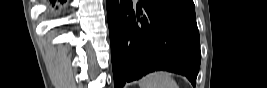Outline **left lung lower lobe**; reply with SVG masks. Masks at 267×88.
<instances>
[{
    "label": "left lung lower lobe",
    "instance_id": "obj_1",
    "mask_svg": "<svg viewBox=\"0 0 267 88\" xmlns=\"http://www.w3.org/2000/svg\"><path fill=\"white\" fill-rule=\"evenodd\" d=\"M114 87L155 70L185 75L200 65L195 10L167 0H106Z\"/></svg>",
    "mask_w": 267,
    "mask_h": 88
}]
</instances>
